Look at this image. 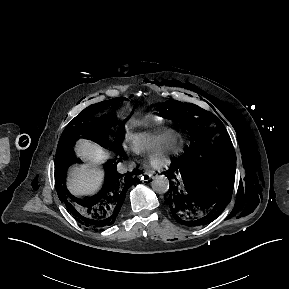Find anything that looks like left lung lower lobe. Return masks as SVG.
<instances>
[{"label":"left lung lower lobe","instance_id":"left-lung-lower-lobe-1","mask_svg":"<svg viewBox=\"0 0 289 289\" xmlns=\"http://www.w3.org/2000/svg\"><path fill=\"white\" fill-rule=\"evenodd\" d=\"M166 173L170 182L166 201L175 220L183 225L212 222L231 199L234 165L219 169L208 148L191 146Z\"/></svg>","mask_w":289,"mask_h":289}]
</instances>
